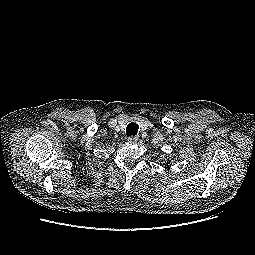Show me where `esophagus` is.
<instances>
[{"instance_id": "34e87169", "label": "esophagus", "mask_w": 255, "mask_h": 255, "mask_svg": "<svg viewBox=\"0 0 255 255\" xmlns=\"http://www.w3.org/2000/svg\"><path fill=\"white\" fill-rule=\"evenodd\" d=\"M139 139V136L135 135V136H130L128 137V142L130 143H136Z\"/></svg>"}]
</instances>
